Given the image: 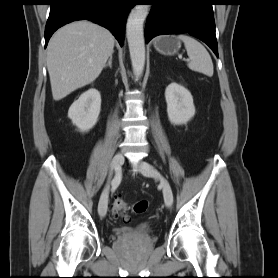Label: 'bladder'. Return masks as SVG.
Segmentation results:
<instances>
[{
  "mask_svg": "<svg viewBox=\"0 0 278 278\" xmlns=\"http://www.w3.org/2000/svg\"><path fill=\"white\" fill-rule=\"evenodd\" d=\"M115 234L118 236H128L132 234V231L127 228H117Z\"/></svg>",
  "mask_w": 278,
  "mask_h": 278,
  "instance_id": "1",
  "label": "bladder"
}]
</instances>
